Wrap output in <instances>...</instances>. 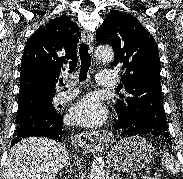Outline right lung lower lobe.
Returning a JSON list of instances; mask_svg holds the SVG:
<instances>
[{"instance_id":"obj_1","label":"right lung lower lobe","mask_w":183,"mask_h":179,"mask_svg":"<svg viewBox=\"0 0 183 179\" xmlns=\"http://www.w3.org/2000/svg\"><path fill=\"white\" fill-rule=\"evenodd\" d=\"M64 129L61 114L34 112L25 121L17 124L12 145L30 136L49 137L61 141Z\"/></svg>"}]
</instances>
